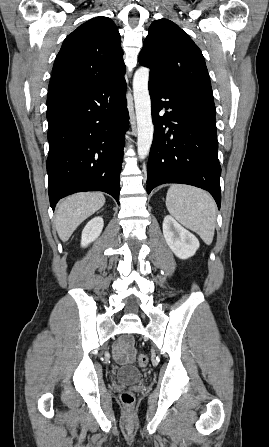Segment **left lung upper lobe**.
Masks as SVG:
<instances>
[{
    "instance_id": "obj_1",
    "label": "left lung upper lobe",
    "mask_w": 269,
    "mask_h": 447,
    "mask_svg": "<svg viewBox=\"0 0 269 447\" xmlns=\"http://www.w3.org/2000/svg\"><path fill=\"white\" fill-rule=\"evenodd\" d=\"M148 31L139 62L150 68V80L181 92L215 115L210 78L197 45L167 19L155 20Z\"/></svg>"
}]
</instances>
